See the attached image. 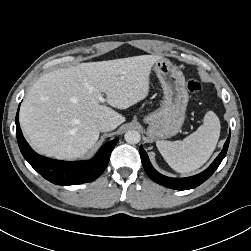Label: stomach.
I'll list each match as a JSON object with an SVG mask.
<instances>
[{
    "instance_id": "0dacf381",
    "label": "stomach",
    "mask_w": 251,
    "mask_h": 251,
    "mask_svg": "<svg viewBox=\"0 0 251 251\" xmlns=\"http://www.w3.org/2000/svg\"><path fill=\"white\" fill-rule=\"evenodd\" d=\"M154 71L163 89V102L159 109L144 117V122L148 124L147 136L151 140H160L179 132L185 120L189 95L182 71L170 60H158Z\"/></svg>"
}]
</instances>
